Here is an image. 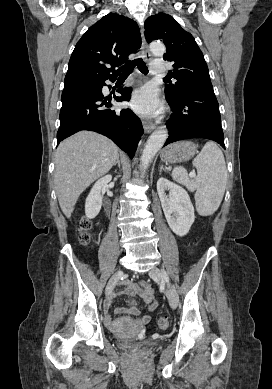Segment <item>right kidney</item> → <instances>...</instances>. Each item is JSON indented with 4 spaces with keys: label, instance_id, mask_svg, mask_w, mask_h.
Returning <instances> with one entry per match:
<instances>
[{
    "label": "right kidney",
    "instance_id": "1",
    "mask_svg": "<svg viewBox=\"0 0 272 389\" xmlns=\"http://www.w3.org/2000/svg\"><path fill=\"white\" fill-rule=\"evenodd\" d=\"M111 175L99 179L92 187L85 202V214L89 219L95 218L102 206V188L111 181Z\"/></svg>",
    "mask_w": 272,
    "mask_h": 389
}]
</instances>
